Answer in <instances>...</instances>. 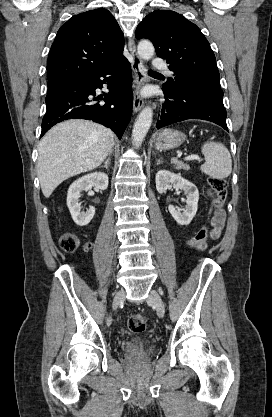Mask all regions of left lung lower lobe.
Masks as SVG:
<instances>
[{"label": "left lung lower lobe", "instance_id": "0a47b994", "mask_svg": "<svg viewBox=\"0 0 272 417\" xmlns=\"http://www.w3.org/2000/svg\"><path fill=\"white\" fill-rule=\"evenodd\" d=\"M163 91L164 106L157 120V129L187 119H202L228 131L222 97L207 94L185 82H178L174 87L163 84Z\"/></svg>", "mask_w": 272, "mask_h": 417}]
</instances>
